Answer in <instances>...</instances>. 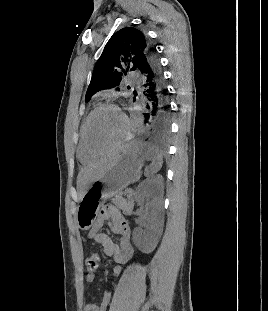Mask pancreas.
Here are the masks:
<instances>
[{
    "label": "pancreas",
    "mask_w": 268,
    "mask_h": 311,
    "mask_svg": "<svg viewBox=\"0 0 268 311\" xmlns=\"http://www.w3.org/2000/svg\"><path fill=\"white\" fill-rule=\"evenodd\" d=\"M112 203L117 206L118 209L122 210L125 215H131L134 207V198L128 195L126 199L121 194L116 195L112 198Z\"/></svg>",
    "instance_id": "obj_1"
}]
</instances>
